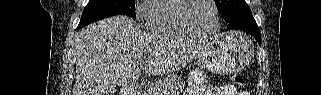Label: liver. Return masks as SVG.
I'll return each mask as SVG.
<instances>
[{
	"instance_id": "1",
	"label": "liver",
	"mask_w": 321,
	"mask_h": 95,
	"mask_svg": "<svg viewBox=\"0 0 321 95\" xmlns=\"http://www.w3.org/2000/svg\"><path fill=\"white\" fill-rule=\"evenodd\" d=\"M206 42L143 32L127 16H114L91 24L75 37L76 78L72 95H113L141 75L171 73L185 67Z\"/></svg>"
}]
</instances>
